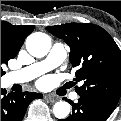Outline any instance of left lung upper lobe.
I'll return each instance as SVG.
<instances>
[{"label": "left lung upper lobe", "mask_w": 121, "mask_h": 121, "mask_svg": "<svg viewBox=\"0 0 121 121\" xmlns=\"http://www.w3.org/2000/svg\"><path fill=\"white\" fill-rule=\"evenodd\" d=\"M47 30L70 47V61L83 81L76 92L113 112L121 94V51L107 31L94 24L69 23Z\"/></svg>", "instance_id": "1"}]
</instances>
